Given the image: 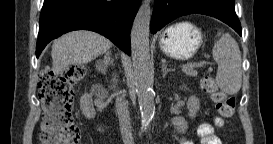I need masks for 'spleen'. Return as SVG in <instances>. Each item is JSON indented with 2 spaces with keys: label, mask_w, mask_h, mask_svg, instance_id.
I'll return each mask as SVG.
<instances>
[{
  "label": "spleen",
  "mask_w": 273,
  "mask_h": 144,
  "mask_svg": "<svg viewBox=\"0 0 273 144\" xmlns=\"http://www.w3.org/2000/svg\"><path fill=\"white\" fill-rule=\"evenodd\" d=\"M220 37L212 49L213 59L218 64L216 83L227 94H236L242 83L241 52L235 39L228 33L219 32Z\"/></svg>",
  "instance_id": "spleen-1"
}]
</instances>
